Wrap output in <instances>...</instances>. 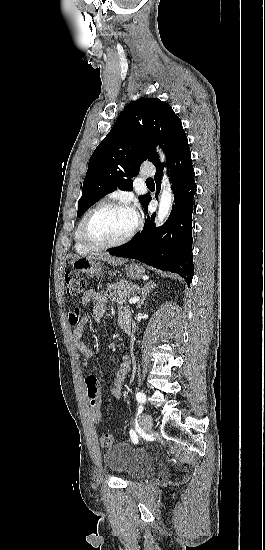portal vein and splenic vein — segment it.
Masks as SVG:
<instances>
[{"label": "portal vein and splenic vein", "mask_w": 265, "mask_h": 550, "mask_svg": "<svg viewBox=\"0 0 265 550\" xmlns=\"http://www.w3.org/2000/svg\"><path fill=\"white\" fill-rule=\"evenodd\" d=\"M139 299H140L139 296L131 297V298L129 299V303H130V304H135V303H137V302L139 301Z\"/></svg>", "instance_id": "portal-vein-and-splenic-vein-1"}]
</instances>
